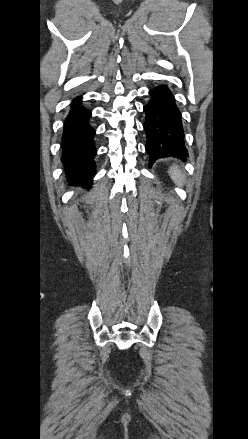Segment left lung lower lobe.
<instances>
[{
	"label": "left lung lower lobe",
	"instance_id": "1",
	"mask_svg": "<svg viewBox=\"0 0 248 439\" xmlns=\"http://www.w3.org/2000/svg\"><path fill=\"white\" fill-rule=\"evenodd\" d=\"M150 100L144 106L146 120L144 130L147 134L146 152L151 164L159 158H185L187 149L181 113L172 92L165 85L150 89Z\"/></svg>",
	"mask_w": 248,
	"mask_h": 439
}]
</instances>
